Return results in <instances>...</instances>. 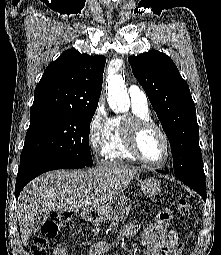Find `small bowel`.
<instances>
[{
    "instance_id": "small-bowel-1",
    "label": "small bowel",
    "mask_w": 221,
    "mask_h": 255,
    "mask_svg": "<svg viewBox=\"0 0 221 255\" xmlns=\"http://www.w3.org/2000/svg\"><path fill=\"white\" fill-rule=\"evenodd\" d=\"M149 229L146 230L141 238V244L147 248L146 255H181L183 243L175 231L166 229L161 233H156L151 232ZM138 231L139 224L131 222L122 227L119 237H134ZM111 245L112 243L109 240H100L89 247L87 254L104 255L109 251Z\"/></svg>"
}]
</instances>
